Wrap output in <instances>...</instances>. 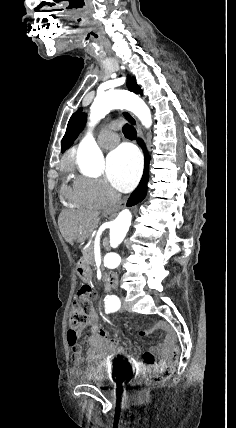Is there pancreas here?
Masks as SVG:
<instances>
[{
  "instance_id": "cf45deb5",
  "label": "pancreas",
  "mask_w": 236,
  "mask_h": 428,
  "mask_svg": "<svg viewBox=\"0 0 236 428\" xmlns=\"http://www.w3.org/2000/svg\"><path fill=\"white\" fill-rule=\"evenodd\" d=\"M94 242H91L90 246L86 248L83 252V260L87 262V264H93L94 262Z\"/></svg>"
}]
</instances>
